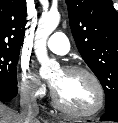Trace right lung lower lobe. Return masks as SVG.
I'll return each mask as SVG.
<instances>
[{
    "mask_svg": "<svg viewBox=\"0 0 118 123\" xmlns=\"http://www.w3.org/2000/svg\"><path fill=\"white\" fill-rule=\"evenodd\" d=\"M18 93L17 87L0 86V101L8 102L12 100Z\"/></svg>",
    "mask_w": 118,
    "mask_h": 123,
    "instance_id": "1",
    "label": "right lung lower lobe"
}]
</instances>
